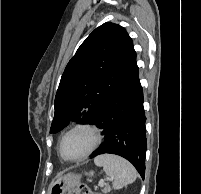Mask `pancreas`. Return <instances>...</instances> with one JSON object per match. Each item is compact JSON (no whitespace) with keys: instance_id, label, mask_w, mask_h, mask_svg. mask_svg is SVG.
I'll use <instances>...</instances> for the list:
<instances>
[{"instance_id":"pancreas-1","label":"pancreas","mask_w":201,"mask_h":194,"mask_svg":"<svg viewBox=\"0 0 201 194\" xmlns=\"http://www.w3.org/2000/svg\"><path fill=\"white\" fill-rule=\"evenodd\" d=\"M110 191V187H105L104 189H102L103 193H108Z\"/></svg>"}]
</instances>
